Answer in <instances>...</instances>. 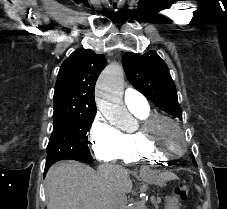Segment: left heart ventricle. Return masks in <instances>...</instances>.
<instances>
[{
    "instance_id": "left-heart-ventricle-1",
    "label": "left heart ventricle",
    "mask_w": 227,
    "mask_h": 209,
    "mask_svg": "<svg viewBox=\"0 0 227 209\" xmlns=\"http://www.w3.org/2000/svg\"><path fill=\"white\" fill-rule=\"evenodd\" d=\"M152 136L165 152L181 151L185 145L182 134L168 121L159 122Z\"/></svg>"
}]
</instances>
